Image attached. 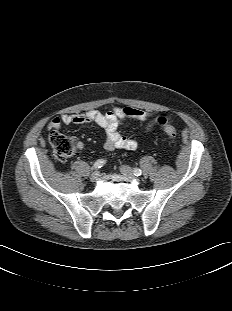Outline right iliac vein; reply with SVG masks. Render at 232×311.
<instances>
[{
	"instance_id": "obj_1",
	"label": "right iliac vein",
	"mask_w": 232,
	"mask_h": 311,
	"mask_svg": "<svg viewBox=\"0 0 232 311\" xmlns=\"http://www.w3.org/2000/svg\"><path fill=\"white\" fill-rule=\"evenodd\" d=\"M99 176H100V174H99L98 171L93 172V173L91 174V176H90V181H91L92 183L97 182L98 179H99Z\"/></svg>"
}]
</instances>
